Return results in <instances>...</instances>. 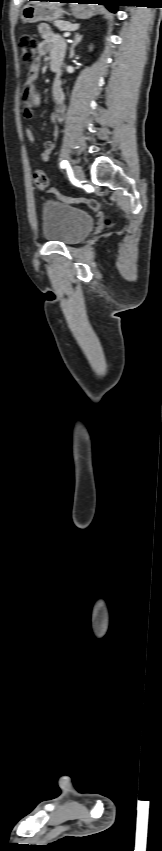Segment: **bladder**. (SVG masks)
<instances>
[{
    "label": "bladder",
    "instance_id": "bladder-1",
    "mask_svg": "<svg viewBox=\"0 0 162 851\" xmlns=\"http://www.w3.org/2000/svg\"><path fill=\"white\" fill-rule=\"evenodd\" d=\"M93 225V217L80 208L55 200L43 203L42 235L48 241L76 244L91 232Z\"/></svg>",
    "mask_w": 162,
    "mask_h": 851
}]
</instances>
